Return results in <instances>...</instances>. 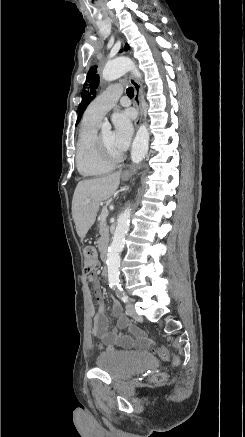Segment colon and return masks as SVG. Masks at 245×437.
<instances>
[{"label": "colon", "mask_w": 245, "mask_h": 437, "mask_svg": "<svg viewBox=\"0 0 245 437\" xmlns=\"http://www.w3.org/2000/svg\"><path fill=\"white\" fill-rule=\"evenodd\" d=\"M84 265H85V271L89 274H93L99 267L98 259L96 251L93 247H87L84 251ZM100 349H103V347L100 345ZM108 350L112 349V347H107ZM151 352L158 355L161 359L167 360L169 359V351L168 349L161 345L158 347L151 348ZM173 363L175 365H178L179 359L177 357H173ZM166 378L165 374H158L155 377L156 381H162Z\"/></svg>", "instance_id": "colon-1"}]
</instances>
